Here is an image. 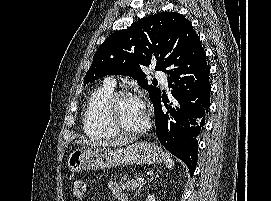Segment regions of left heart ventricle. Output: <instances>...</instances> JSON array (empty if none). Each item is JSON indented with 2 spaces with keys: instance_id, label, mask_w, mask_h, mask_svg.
Wrapping results in <instances>:
<instances>
[{
  "instance_id": "1",
  "label": "left heart ventricle",
  "mask_w": 271,
  "mask_h": 201,
  "mask_svg": "<svg viewBox=\"0 0 271 201\" xmlns=\"http://www.w3.org/2000/svg\"><path fill=\"white\" fill-rule=\"evenodd\" d=\"M119 121L127 128L136 129L143 125L146 112L142 109L140 101L134 98L122 99L116 108Z\"/></svg>"
}]
</instances>
